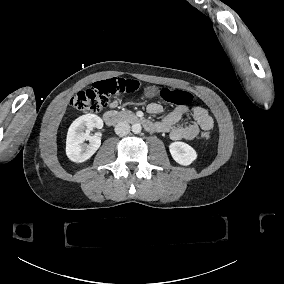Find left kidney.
<instances>
[{"mask_svg": "<svg viewBox=\"0 0 284 284\" xmlns=\"http://www.w3.org/2000/svg\"><path fill=\"white\" fill-rule=\"evenodd\" d=\"M169 152L173 160L182 166H190L198 158L197 151L182 141L172 142L169 145Z\"/></svg>", "mask_w": 284, "mask_h": 284, "instance_id": "left-kidney-1", "label": "left kidney"}]
</instances>
